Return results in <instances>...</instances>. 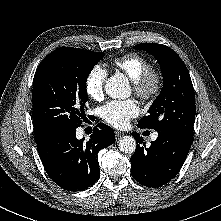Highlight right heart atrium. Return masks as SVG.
I'll return each mask as SVG.
<instances>
[{
    "instance_id": "obj_1",
    "label": "right heart atrium",
    "mask_w": 221,
    "mask_h": 221,
    "mask_svg": "<svg viewBox=\"0 0 221 221\" xmlns=\"http://www.w3.org/2000/svg\"><path fill=\"white\" fill-rule=\"evenodd\" d=\"M107 70L101 65L93 66L85 79V92L92 100H100L104 95Z\"/></svg>"
}]
</instances>
